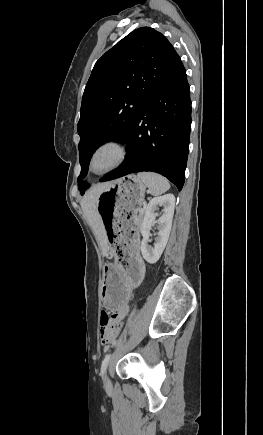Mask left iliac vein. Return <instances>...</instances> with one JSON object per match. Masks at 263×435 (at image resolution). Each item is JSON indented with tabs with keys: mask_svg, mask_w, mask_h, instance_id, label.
Listing matches in <instances>:
<instances>
[{
	"mask_svg": "<svg viewBox=\"0 0 263 435\" xmlns=\"http://www.w3.org/2000/svg\"><path fill=\"white\" fill-rule=\"evenodd\" d=\"M105 385L107 387L111 385V381H110V379H109V377L107 375L105 376Z\"/></svg>",
	"mask_w": 263,
	"mask_h": 435,
	"instance_id": "4c4485c4",
	"label": "left iliac vein"
}]
</instances>
